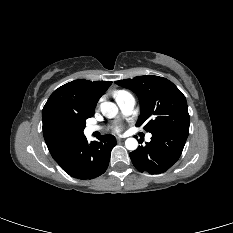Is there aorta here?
<instances>
[{
    "instance_id": "762f6f07",
    "label": "aorta",
    "mask_w": 233,
    "mask_h": 233,
    "mask_svg": "<svg viewBox=\"0 0 233 233\" xmlns=\"http://www.w3.org/2000/svg\"><path fill=\"white\" fill-rule=\"evenodd\" d=\"M101 113L107 118H113L118 113V107L112 102H103L100 105ZM125 147L128 150H136L138 147V141L135 138H128L125 141Z\"/></svg>"
}]
</instances>
